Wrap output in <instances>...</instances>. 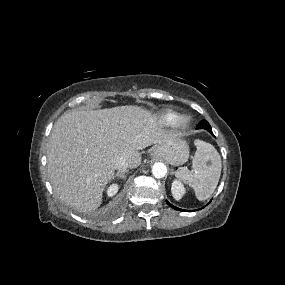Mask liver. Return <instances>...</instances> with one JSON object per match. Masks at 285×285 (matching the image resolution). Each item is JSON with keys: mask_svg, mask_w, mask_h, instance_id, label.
Wrapping results in <instances>:
<instances>
[{"mask_svg": "<svg viewBox=\"0 0 285 285\" xmlns=\"http://www.w3.org/2000/svg\"><path fill=\"white\" fill-rule=\"evenodd\" d=\"M175 135L158 117L139 106H119L64 113L55 123L47 150V168L56 195L79 212H94L113 179L114 160L136 168L140 150Z\"/></svg>", "mask_w": 285, "mask_h": 285, "instance_id": "6515ba94", "label": "liver"}]
</instances>
